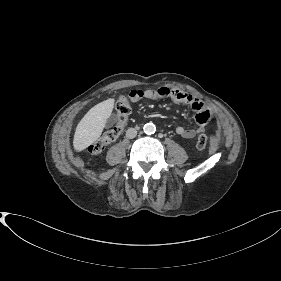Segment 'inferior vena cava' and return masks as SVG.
Masks as SVG:
<instances>
[{
    "label": "inferior vena cava",
    "mask_w": 281,
    "mask_h": 281,
    "mask_svg": "<svg viewBox=\"0 0 281 281\" xmlns=\"http://www.w3.org/2000/svg\"><path fill=\"white\" fill-rule=\"evenodd\" d=\"M136 135H137V130L135 128H129L126 131V137L129 139L136 137Z\"/></svg>",
    "instance_id": "602c4592"
}]
</instances>
